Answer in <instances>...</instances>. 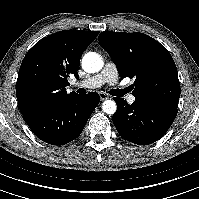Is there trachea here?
Segmentation results:
<instances>
[{"label":"trachea","instance_id":"1","mask_svg":"<svg viewBox=\"0 0 199 199\" xmlns=\"http://www.w3.org/2000/svg\"><path fill=\"white\" fill-rule=\"evenodd\" d=\"M78 92L80 94H85L86 91L84 89H79ZM113 96H123L124 94L127 93V89H114L110 92Z\"/></svg>","mask_w":199,"mask_h":199}]
</instances>
